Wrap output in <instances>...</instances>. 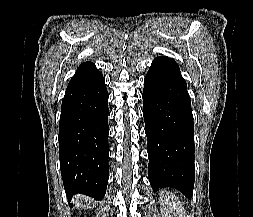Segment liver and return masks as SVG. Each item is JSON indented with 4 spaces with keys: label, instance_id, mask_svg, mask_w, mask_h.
Segmentation results:
<instances>
[{
    "label": "liver",
    "instance_id": "obj_1",
    "mask_svg": "<svg viewBox=\"0 0 253 217\" xmlns=\"http://www.w3.org/2000/svg\"><path fill=\"white\" fill-rule=\"evenodd\" d=\"M79 198H80V196H76V200H77V201L79 200ZM83 199H84L85 203L89 202V204H90V203L93 202L90 198H87V197H85V198H83Z\"/></svg>",
    "mask_w": 253,
    "mask_h": 217
}]
</instances>
